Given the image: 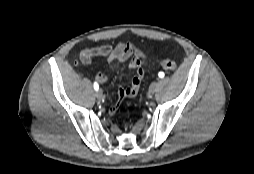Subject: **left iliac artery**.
<instances>
[{
	"instance_id": "obj_1",
	"label": "left iliac artery",
	"mask_w": 254,
	"mask_h": 174,
	"mask_svg": "<svg viewBox=\"0 0 254 174\" xmlns=\"http://www.w3.org/2000/svg\"><path fill=\"white\" fill-rule=\"evenodd\" d=\"M158 76H159L160 78H163V77L165 76V74H164V72H159Z\"/></svg>"
}]
</instances>
